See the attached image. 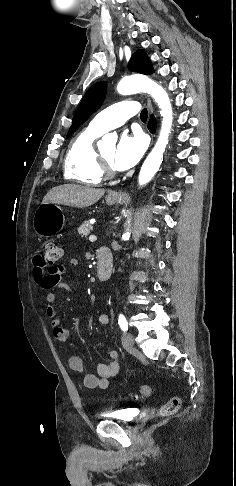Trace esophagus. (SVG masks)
Returning <instances> with one entry per match:
<instances>
[{
    "mask_svg": "<svg viewBox=\"0 0 236 486\" xmlns=\"http://www.w3.org/2000/svg\"><path fill=\"white\" fill-rule=\"evenodd\" d=\"M148 106H149L150 111L152 112V105H151L150 100H148ZM109 196H111V197H117V196H118V194H117V193H115V192H111V193L109 194Z\"/></svg>",
    "mask_w": 236,
    "mask_h": 486,
    "instance_id": "esophagus-1",
    "label": "esophagus"
}]
</instances>
